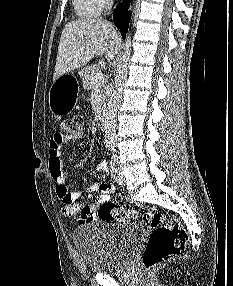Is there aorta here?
<instances>
[{"instance_id":"aorta-1","label":"aorta","mask_w":233,"mask_h":286,"mask_svg":"<svg viewBox=\"0 0 233 286\" xmlns=\"http://www.w3.org/2000/svg\"><path fill=\"white\" fill-rule=\"evenodd\" d=\"M131 44V33L128 32L125 39L123 53L117 65L116 76L113 81L110 98L104 115L103 128L105 131V138L108 142H114L116 136V114L122 100L123 87L128 75Z\"/></svg>"}]
</instances>
